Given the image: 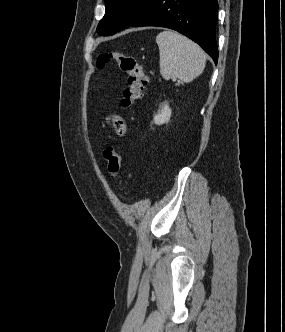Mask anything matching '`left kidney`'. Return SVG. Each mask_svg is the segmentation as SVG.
Returning a JSON list of instances; mask_svg holds the SVG:
<instances>
[{"instance_id":"obj_1","label":"left kidney","mask_w":285,"mask_h":332,"mask_svg":"<svg viewBox=\"0 0 285 332\" xmlns=\"http://www.w3.org/2000/svg\"><path fill=\"white\" fill-rule=\"evenodd\" d=\"M171 113L172 110L170 109L169 105L166 103L154 116L153 118L154 123L157 125L168 123L171 117Z\"/></svg>"}]
</instances>
